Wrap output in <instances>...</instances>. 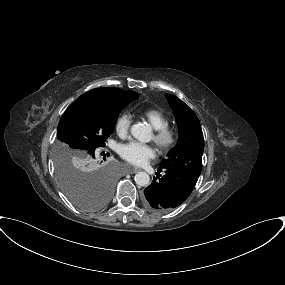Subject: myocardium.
I'll list each match as a JSON object with an SVG mask.
<instances>
[{"label": "myocardium", "mask_w": 285, "mask_h": 285, "mask_svg": "<svg viewBox=\"0 0 285 285\" xmlns=\"http://www.w3.org/2000/svg\"><path fill=\"white\" fill-rule=\"evenodd\" d=\"M153 140L161 151L168 152L177 143V133L167 125L154 130Z\"/></svg>", "instance_id": "myocardium-1"}]
</instances>
